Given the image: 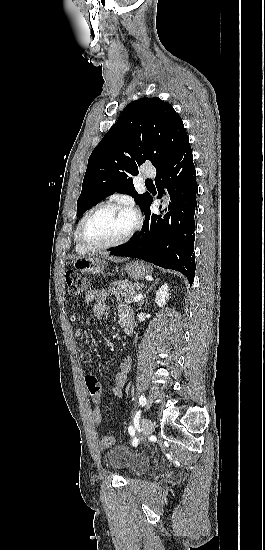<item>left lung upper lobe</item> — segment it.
<instances>
[{"mask_svg":"<svg viewBox=\"0 0 265 550\" xmlns=\"http://www.w3.org/2000/svg\"><path fill=\"white\" fill-rule=\"evenodd\" d=\"M188 140L171 104L158 97L131 102L89 157L77 216L115 192L132 195L145 211L152 197L139 195L129 176L146 160L160 170Z\"/></svg>","mask_w":265,"mask_h":550,"instance_id":"5c2ea615","label":"left lung upper lobe"}]
</instances>
